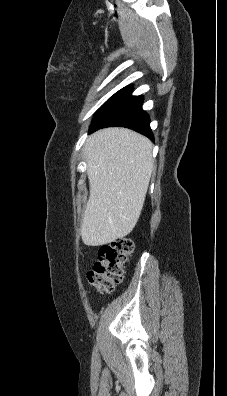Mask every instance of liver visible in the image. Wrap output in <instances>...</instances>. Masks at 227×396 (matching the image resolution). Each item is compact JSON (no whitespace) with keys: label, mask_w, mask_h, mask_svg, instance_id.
I'll use <instances>...</instances> for the list:
<instances>
[{"label":"liver","mask_w":227,"mask_h":396,"mask_svg":"<svg viewBox=\"0 0 227 396\" xmlns=\"http://www.w3.org/2000/svg\"><path fill=\"white\" fill-rule=\"evenodd\" d=\"M90 196L81 222L85 245L128 235L141 214L154 169L150 140L126 128H106L84 146Z\"/></svg>","instance_id":"6515ba94"}]
</instances>
